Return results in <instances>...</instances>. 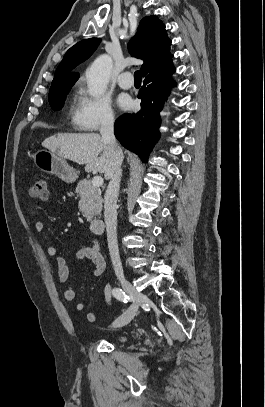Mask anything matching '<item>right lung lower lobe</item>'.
I'll list each match as a JSON object with an SVG mask.
<instances>
[{"mask_svg":"<svg viewBox=\"0 0 265 407\" xmlns=\"http://www.w3.org/2000/svg\"><path fill=\"white\" fill-rule=\"evenodd\" d=\"M172 57L169 54L144 73L143 87L138 95L142 99L141 110L136 114H124L115 122L116 138L144 162L160 137L159 112L167 100L170 85L174 84L170 76L175 72Z\"/></svg>","mask_w":265,"mask_h":407,"instance_id":"right-lung-lower-lobe-1","label":"right lung lower lobe"}]
</instances>
